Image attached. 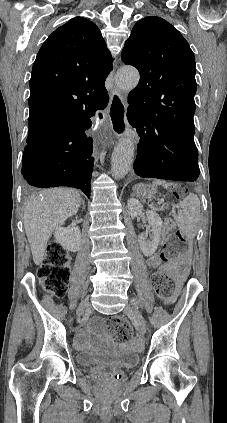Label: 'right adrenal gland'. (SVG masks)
I'll return each instance as SVG.
<instances>
[{"instance_id":"2a0ac1e0","label":"right adrenal gland","mask_w":227,"mask_h":423,"mask_svg":"<svg viewBox=\"0 0 227 423\" xmlns=\"http://www.w3.org/2000/svg\"><path fill=\"white\" fill-rule=\"evenodd\" d=\"M81 204H82V206H83V210H85V206H84V202H83V200H82Z\"/></svg>"}]
</instances>
